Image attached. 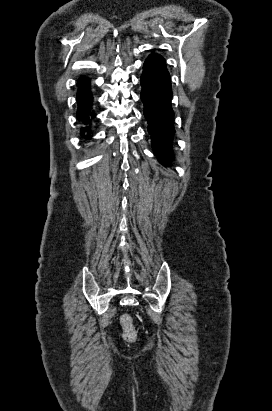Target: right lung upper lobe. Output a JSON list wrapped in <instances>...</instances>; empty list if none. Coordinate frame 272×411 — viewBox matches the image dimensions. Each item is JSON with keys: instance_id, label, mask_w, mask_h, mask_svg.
<instances>
[{"instance_id": "1", "label": "right lung upper lobe", "mask_w": 272, "mask_h": 411, "mask_svg": "<svg viewBox=\"0 0 272 411\" xmlns=\"http://www.w3.org/2000/svg\"><path fill=\"white\" fill-rule=\"evenodd\" d=\"M88 79H89V78H87V77L81 76V77L79 78L78 84H80V83H82V82H84V81H86V80H88Z\"/></svg>"}]
</instances>
